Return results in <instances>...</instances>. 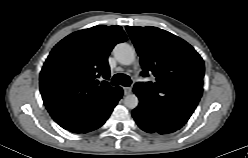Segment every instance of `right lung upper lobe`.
Masks as SVG:
<instances>
[{"label": "right lung upper lobe", "mask_w": 248, "mask_h": 158, "mask_svg": "<svg viewBox=\"0 0 248 158\" xmlns=\"http://www.w3.org/2000/svg\"><path fill=\"white\" fill-rule=\"evenodd\" d=\"M127 40L120 26L99 25L76 31L62 39L50 52L40 73V92L56 122L71 120L96 109L118 87L108 79V55Z\"/></svg>", "instance_id": "obj_1"}]
</instances>
